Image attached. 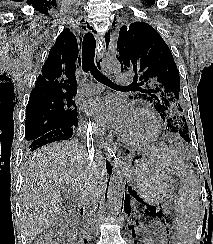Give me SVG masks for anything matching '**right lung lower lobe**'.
I'll list each match as a JSON object with an SVG mask.
<instances>
[{
  "mask_svg": "<svg viewBox=\"0 0 213 244\" xmlns=\"http://www.w3.org/2000/svg\"><path fill=\"white\" fill-rule=\"evenodd\" d=\"M76 127H63L60 129L49 131L48 133L29 142V149L30 151H34L37 148L52 142L68 140L72 137ZM111 171H112L111 165L107 162V172L109 175L111 174Z\"/></svg>",
  "mask_w": 213,
  "mask_h": 244,
  "instance_id": "obj_1",
  "label": "right lung lower lobe"
}]
</instances>
